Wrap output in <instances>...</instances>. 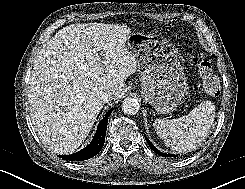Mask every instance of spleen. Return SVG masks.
<instances>
[{"label":"spleen","instance_id":"1","mask_svg":"<svg viewBox=\"0 0 245 189\" xmlns=\"http://www.w3.org/2000/svg\"><path fill=\"white\" fill-rule=\"evenodd\" d=\"M215 118V106L204 101L187 115L172 120H154L157 135L176 152L196 149L209 135Z\"/></svg>","mask_w":245,"mask_h":189}]
</instances>
